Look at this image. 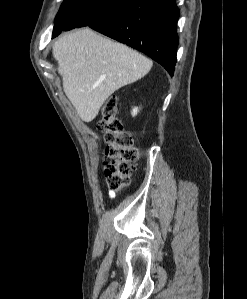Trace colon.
I'll use <instances>...</instances> for the list:
<instances>
[{
    "mask_svg": "<svg viewBox=\"0 0 247 299\" xmlns=\"http://www.w3.org/2000/svg\"><path fill=\"white\" fill-rule=\"evenodd\" d=\"M97 129L106 142L104 172L110 189L119 191L128 185L138 157L132 136L117 117V99L109 97L102 108Z\"/></svg>",
    "mask_w": 247,
    "mask_h": 299,
    "instance_id": "obj_1",
    "label": "colon"
}]
</instances>
